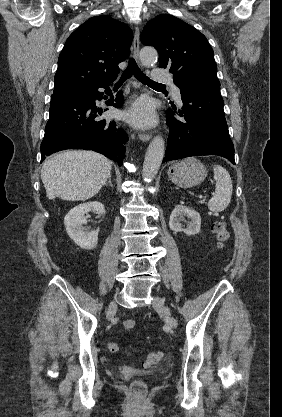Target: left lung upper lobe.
Wrapping results in <instances>:
<instances>
[{
	"instance_id": "left-lung-upper-lobe-1",
	"label": "left lung upper lobe",
	"mask_w": 282,
	"mask_h": 417,
	"mask_svg": "<svg viewBox=\"0 0 282 417\" xmlns=\"http://www.w3.org/2000/svg\"><path fill=\"white\" fill-rule=\"evenodd\" d=\"M141 42L157 49L159 67L173 73L174 83L180 90L194 82L220 86L214 52L208 40L184 21L169 14L158 15L145 25Z\"/></svg>"
}]
</instances>
